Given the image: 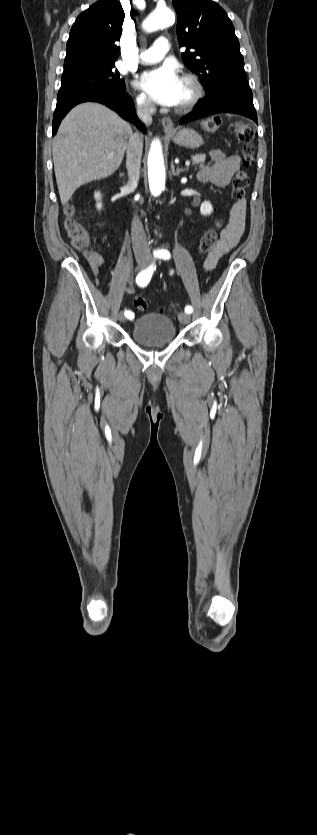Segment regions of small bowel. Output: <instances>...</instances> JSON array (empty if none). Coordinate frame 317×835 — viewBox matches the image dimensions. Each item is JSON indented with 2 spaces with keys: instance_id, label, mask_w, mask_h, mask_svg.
I'll return each instance as SVG.
<instances>
[{
  "instance_id": "obj_1",
  "label": "small bowel",
  "mask_w": 317,
  "mask_h": 835,
  "mask_svg": "<svg viewBox=\"0 0 317 835\" xmlns=\"http://www.w3.org/2000/svg\"><path fill=\"white\" fill-rule=\"evenodd\" d=\"M240 158L237 155H226L223 151L216 149L210 153V161L197 173L196 178L202 183H212L219 187L227 186L232 177L240 170ZM246 221V212L243 205L235 207L232 211L230 222L221 234V239L216 246L208 253L203 261L205 270H212L216 267L219 259L230 252L241 239ZM106 263V257L94 253L90 258V265L94 271ZM128 293H134V288L128 287Z\"/></svg>"
}]
</instances>
